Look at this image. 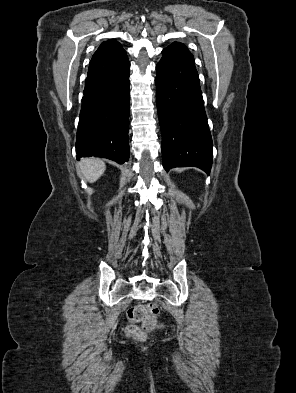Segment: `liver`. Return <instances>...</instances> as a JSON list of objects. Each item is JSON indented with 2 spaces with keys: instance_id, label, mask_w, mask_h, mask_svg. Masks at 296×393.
I'll return each mask as SVG.
<instances>
[{
  "instance_id": "1",
  "label": "liver",
  "mask_w": 296,
  "mask_h": 393,
  "mask_svg": "<svg viewBox=\"0 0 296 393\" xmlns=\"http://www.w3.org/2000/svg\"><path fill=\"white\" fill-rule=\"evenodd\" d=\"M105 169V163L97 158H84L78 163V171L90 183L95 182Z\"/></svg>"
}]
</instances>
